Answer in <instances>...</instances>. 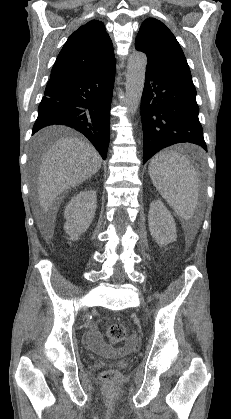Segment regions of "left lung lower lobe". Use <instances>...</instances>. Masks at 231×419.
Here are the masks:
<instances>
[{
    "mask_svg": "<svg viewBox=\"0 0 231 419\" xmlns=\"http://www.w3.org/2000/svg\"><path fill=\"white\" fill-rule=\"evenodd\" d=\"M192 79L146 70L141 99L143 164L159 150L193 143L207 151Z\"/></svg>",
    "mask_w": 231,
    "mask_h": 419,
    "instance_id": "obj_1",
    "label": "left lung lower lobe"
}]
</instances>
